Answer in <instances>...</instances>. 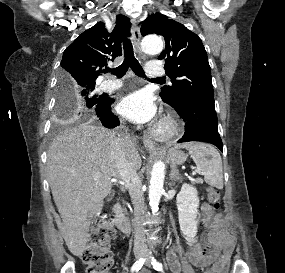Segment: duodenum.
Instances as JSON below:
<instances>
[{
  "mask_svg": "<svg viewBox=\"0 0 285 273\" xmlns=\"http://www.w3.org/2000/svg\"><path fill=\"white\" fill-rule=\"evenodd\" d=\"M115 212L117 214L115 224L124 234H129L131 232V225L128 218L122 213L120 205H116Z\"/></svg>",
  "mask_w": 285,
  "mask_h": 273,
  "instance_id": "duodenum-1",
  "label": "duodenum"
}]
</instances>
